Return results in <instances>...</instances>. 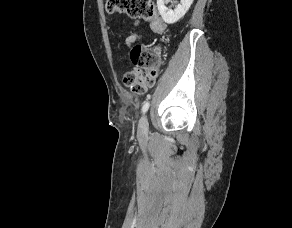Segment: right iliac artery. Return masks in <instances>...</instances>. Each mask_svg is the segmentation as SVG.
<instances>
[{
	"instance_id": "right-iliac-artery-1",
	"label": "right iliac artery",
	"mask_w": 292,
	"mask_h": 228,
	"mask_svg": "<svg viewBox=\"0 0 292 228\" xmlns=\"http://www.w3.org/2000/svg\"><path fill=\"white\" fill-rule=\"evenodd\" d=\"M148 108H149V103L146 102L142 107V112L145 113L148 110Z\"/></svg>"
}]
</instances>
